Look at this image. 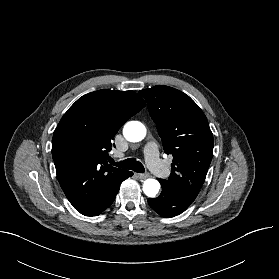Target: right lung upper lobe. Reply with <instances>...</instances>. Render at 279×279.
Masks as SVG:
<instances>
[{
    "mask_svg": "<svg viewBox=\"0 0 279 279\" xmlns=\"http://www.w3.org/2000/svg\"><path fill=\"white\" fill-rule=\"evenodd\" d=\"M145 105L134 91L98 90L63 115L53 134L52 156L60 186L80 213L94 209L128 172L108 164V152L121 126Z\"/></svg>",
    "mask_w": 279,
    "mask_h": 279,
    "instance_id": "1",
    "label": "right lung upper lobe"
}]
</instances>
